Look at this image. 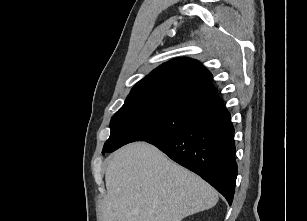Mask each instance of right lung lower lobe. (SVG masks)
<instances>
[{
  "label": "right lung lower lobe",
  "mask_w": 307,
  "mask_h": 221,
  "mask_svg": "<svg viewBox=\"0 0 307 221\" xmlns=\"http://www.w3.org/2000/svg\"><path fill=\"white\" fill-rule=\"evenodd\" d=\"M147 142L201 176L232 203L237 176L236 149L230 113L223 104L184 129Z\"/></svg>",
  "instance_id": "98d812e1"
}]
</instances>
